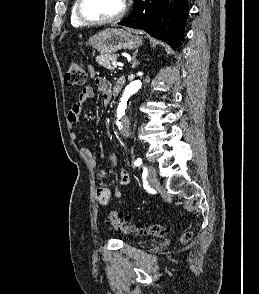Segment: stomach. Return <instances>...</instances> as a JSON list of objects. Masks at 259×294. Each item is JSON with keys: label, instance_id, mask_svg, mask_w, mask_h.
Instances as JSON below:
<instances>
[{"label": "stomach", "instance_id": "obj_1", "mask_svg": "<svg viewBox=\"0 0 259 294\" xmlns=\"http://www.w3.org/2000/svg\"><path fill=\"white\" fill-rule=\"evenodd\" d=\"M142 44V38L130 31L108 28L89 39V45L101 54H113L122 49L133 50Z\"/></svg>", "mask_w": 259, "mask_h": 294}]
</instances>
